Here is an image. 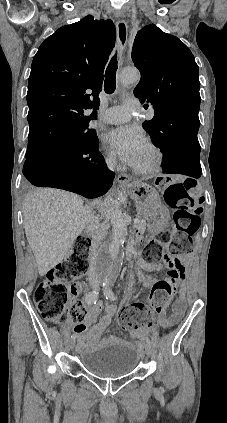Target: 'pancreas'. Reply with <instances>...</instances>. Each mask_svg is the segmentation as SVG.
<instances>
[{
    "instance_id": "obj_1",
    "label": "pancreas",
    "mask_w": 227,
    "mask_h": 423,
    "mask_svg": "<svg viewBox=\"0 0 227 423\" xmlns=\"http://www.w3.org/2000/svg\"><path fill=\"white\" fill-rule=\"evenodd\" d=\"M138 223L135 225L136 229H139V231H145L146 229V219H144L143 215L141 213H138Z\"/></svg>"
}]
</instances>
